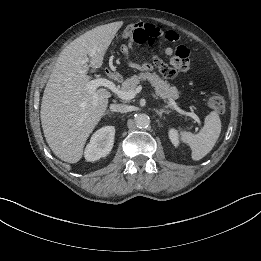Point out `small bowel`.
Wrapping results in <instances>:
<instances>
[{"instance_id": "obj_1", "label": "small bowel", "mask_w": 261, "mask_h": 261, "mask_svg": "<svg viewBox=\"0 0 261 261\" xmlns=\"http://www.w3.org/2000/svg\"><path fill=\"white\" fill-rule=\"evenodd\" d=\"M132 43H134V42L130 37V43L127 45H123L121 47L122 53L127 58L129 57V55L132 51V48H133ZM178 48H181L183 50V53H181V54L178 53V51H177ZM165 54L168 57V64L172 67V68L169 67L173 71L171 77H174L178 72L186 71L189 68V59H188L189 49L186 46L179 45L175 49H173L171 47H167L165 49ZM129 63L138 69L147 70V71L151 70L150 64H148L146 62L139 64V63H136L133 61H129Z\"/></svg>"}]
</instances>
